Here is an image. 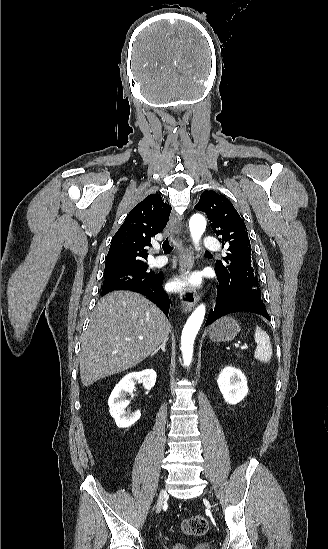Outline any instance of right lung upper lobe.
<instances>
[{
    "label": "right lung upper lobe",
    "mask_w": 328,
    "mask_h": 549,
    "mask_svg": "<svg viewBox=\"0 0 328 549\" xmlns=\"http://www.w3.org/2000/svg\"><path fill=\"white\" fill-rule=\"evenodd\" d=\"M171 207L158 194L137 204L111 240L104 272L146 265V247L166 226Z\"/></svg>",
    "instance_id": "obj_1"
}]
</instances>
